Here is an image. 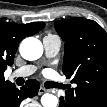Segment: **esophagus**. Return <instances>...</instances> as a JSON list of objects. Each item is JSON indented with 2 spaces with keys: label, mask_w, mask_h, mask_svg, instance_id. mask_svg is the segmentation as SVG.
Wrapping results in <instances>:
<instances>
[{
  "label": "esophagus",
  "mask_w": 107,
  "mask_h": 107,
  "mask_svg": "<svg viewBox=\"0 0 107 107\" xmlns=\"http://www.w3.org/2000/svg\"><path fill=\"white\" fill-rule=\"evenodd\" d=\"M47 91H48V90H46L45 88L40 87V88H39V91H38V94H39V95H42V94L46 93Z\"/></svg>",
  "instance_id": "obj_1"
}]
</instances>
